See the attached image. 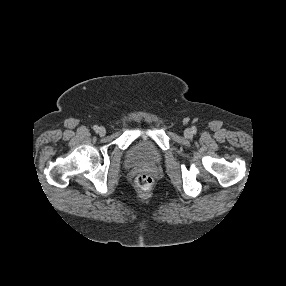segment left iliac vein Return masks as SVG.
Here are the masks:
<instances>
[{
	"instance_id": "4c4485c4",
	"label": "left iliac vein",
	"mask_w": 286,
	"mask_h": 286,
	"mask_svg": "<svg viewBox=\"0 0 286 286\" xmlns=\"http://www.w3.org/2000/svg\"><path fill=\"white\" fill-rule=\"evenodd\" d=\"M193 135V132H192V130L191 129H186L185 131H184V136L186 137V138H190L191 136Z\"/></svg>"
}]
</instances>
